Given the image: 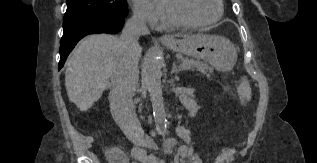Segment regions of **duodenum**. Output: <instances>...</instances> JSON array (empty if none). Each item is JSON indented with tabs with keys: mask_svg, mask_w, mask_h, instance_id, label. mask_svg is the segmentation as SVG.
<instances>
[{
	"mask_svg": "<svg viewBox=\"0 0 317 163\" xmlns=\"http://www.w3.org/2000/svg\"><path fill=\"white\" fill-rule=\"evenodd\" d=\"M134 145V148H140V146L154 147L156 146V141L151 137H144L134 142ZM108 151L112 156H117L121 152L118 147H111Z\"/></svg>",
	"mask_w": 317,
	"mask_h": 163,
	"instance_id": "obj_1",
	"label": "duodenum"
}]
</instances>
